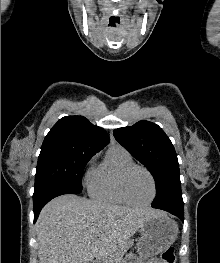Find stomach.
<instances>
[{
    "instance_id": "0dacf381",
    "label": "stomach",
    "mask_w": 220,
    "mask_h": 263,
    "mask_svg": "<svg viewBox=\"0 0 220 263\" xmlns=\"http://www.w3.org/2000/svg\"><path fill=\"white\" fill-rule=\"evenodd\" d=\"M178 225L167 214L161 213L140 227L137 252L128 254L122 263H145V261L170 247L177 239Z\"/></svg>"
}]
</instances>
